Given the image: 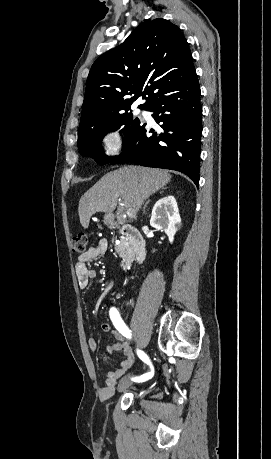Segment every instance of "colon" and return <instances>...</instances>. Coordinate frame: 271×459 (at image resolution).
Wrapping results in <instances>:
<instances>
[{"label": "colon", "instance_id": "1", "mask_svg": "<svg viewBox=\"0 0 271 459\" xmlns=\"http://www.w3.org/2000/svg\"><path fill=\"white\" fill-rule=\"evenodd\" d=\"M88 235L85 232L78 233L72 241V250L75 253H84L86 251Z\"/></svg>", "mask_w": 271, "mask_h": 459}]
</instances>
